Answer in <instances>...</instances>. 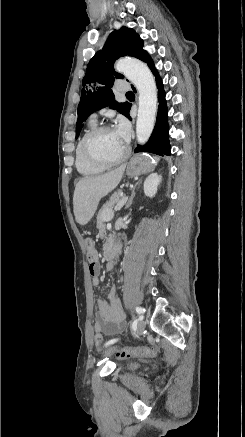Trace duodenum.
Instances as JSON below:
<instances>
[{
    "instance_id": "obj_1",
    "label": "duodenum",
    "mask_w": 245,
    "mask_h": 437,
    "mask_svg": "<svg viewBox=\"0 0 245 437\" xmlns=\"http://www.w3.org/2000/svg\"><path fill=\"white\" fill-rule=\"evenodd\" d=\"M118 253V248L116 245H109L104 251V257L106 260L107 269H112L114 266V258Z\"/></svg>"
}]
</instances>
